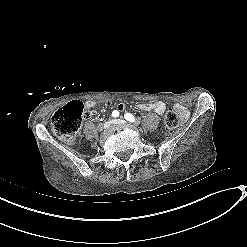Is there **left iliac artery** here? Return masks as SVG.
<instances>
[{"label":"left iliac artery","mask_w":247,"mask_h":247,"mask_svg":"<svg viewBox=\"0 0 247 247\" xmlns=\"http://www.w3.org/2000/svg\"><path fill=\"white\" fill-rule=\"evenodd\" d=\"M124 118H125L126 120H128L129 122H135V118H134V116H133L131 113H126V114L124 115Z\"/></svg>","instance_id":"obj_1"}]
</instances>
